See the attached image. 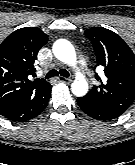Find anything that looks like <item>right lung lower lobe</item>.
<instances>
[{
	"mask_svg": "<svg viewBox=\"0 0 135 165\" xmlns=\"http://www.w3.org/2000/svg\"><path fill=\"white\" fill-rule=\"evenodd\" d=\"M50 93L42 98L37 99H17L0 106V114L5 118L23 122L38 116L47 106Z\"/></svg>",
	"mask_w": 135,
	"mask_h": 165,
	"instance_id": "98d812e1",
	"label": "right lung lower lobe"
}]
</instances>
